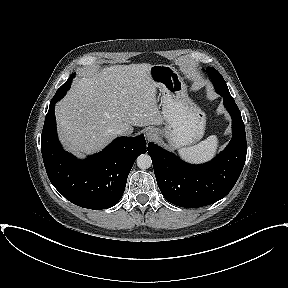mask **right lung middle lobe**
Returning a JSON list of instances; mask_svg holds the SVG:
<instances>
[{
	"instance_id": "right-lung-middle-lobe-1",
	"label": "right lung middle lobe",
	"mask_w": 288,
	"mask_h": 288,
	"mask_svg": "<svg viewBox=\"0 0 288 288\" xmlns=\"http://www.w3.org/2000/svg\"><path fill=\"white\" fill-rule=\"evenodd\" d=\"M74 76V75H73ZM73 76L67 80V82H65L56 92V94L53 97V100H60L67 92V90L70 88V84H71V80L73 78Z\"/></svg>"
}]
</instances>
